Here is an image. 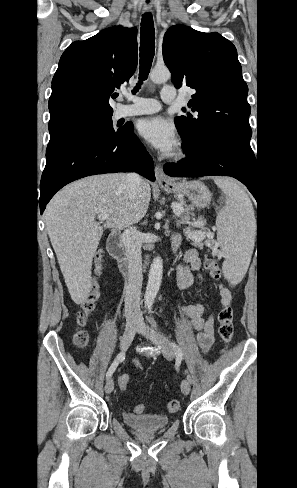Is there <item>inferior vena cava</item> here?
<instances>
[{
  "instance_id": "obj_1",
  "label": "inferior vena cava",
  "mask_w": 297,
  "mask_h": 488,
  "mask_svg": "<svg viewBox=\"0 0 297 488\" xmlns=\"http://www.w3.org/2000/svg\"><path fill=\"white\" fill-rule=\"evenodd\" d=\"M144 181L136 173H129L126 176V186L130 197L143 185ZM122 242L126 251L128 261V284L125 294V315L129 317L142 316L140 310V295L143 281L141 244L142 235L133 226L128 225L122 234Z\"/></svg>"
}]
</instances>
